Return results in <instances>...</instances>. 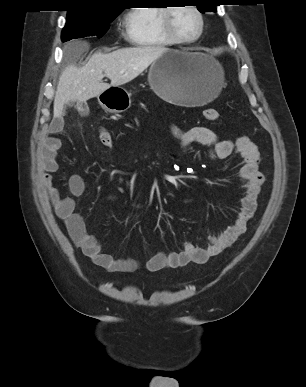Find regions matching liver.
Segmentation results:
<instances>
[{
  "label": "liver",
  "instance_id": "liver-1",
  "mask_svg": "<svg viewBox=\"0 0 306 387\" xmlns=\"http://www.w3.org/2000/svg\"><path fill=\"white\" fill-rule=\"evenodd\" d=\"M166 51L165 47L143 46L118 49L108 54L96 52L83 67L67 66L59 77L54 118L63 115L64 105L70 101L86 102L110 87L132 81ZM104 77L111 83H104Z\"/></svg>",
  "mask_w": 306,
  "mask_h": 387
}]
</instances>
